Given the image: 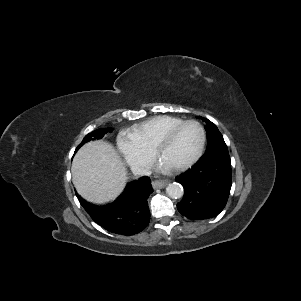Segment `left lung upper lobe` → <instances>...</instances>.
I'll use <instances>...</instances> for the list:
<instances>
[{
    "label": "left lung upper lobe",
    "mask_w": 301,
    "mask_h": 301,
    "mask_svg": "<svg viewBox=\"0 0 301 301\" xmlns=\"http://www.w3.org/2000/svg\"><path fill=\"white\" fill-rule=\"evenodd\" d=\"M203 121L206 122L205 129L207 132L208 144L206 152L199 161H206L210 159H223L230 161L227 145L216 125L205 118H203Z\"/></svg>",
    "instance_id": "5c2ea615"
}]
</instances>
